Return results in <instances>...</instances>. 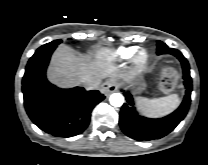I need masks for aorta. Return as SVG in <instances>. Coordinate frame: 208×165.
Returning <instances> with one entry per match:
<instances>
[{"mask_svg":"<svg viewBox=\"0 0 208 165\" xmlns=\"http://www.w3.org/2000/svg\"><path fill=\"white\" fill-rule=\"evenodd\" d=\"M109 102L114 107H120L124 103V97L120 93H113L109 98Z\"/></svg>","mask_w":208,"mask_h":165,"instance_id":"762f6f07","label":"aorta"}]
</instances>
